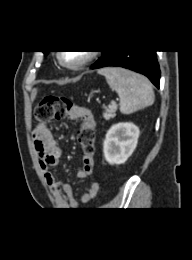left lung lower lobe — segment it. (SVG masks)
Segmentation results:
<instances>
[{
	"instance_id": "1",
	"label": "left lung lower lobe",
	"mask_w": 192,
	"mask_h": 260,
	"mask_svg": "<svg viewBox=\"0 0 192 260\" xmlns=\"http://www.w3.org/2000/svg\"><path fill=\"white\" fill-rule=\"evenodd\" d=\"M101 58L90 68L123 67L147 76L159 88L160 69L155 50L102 51Z\"/></svg>"
}]
</instances>
